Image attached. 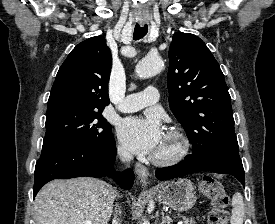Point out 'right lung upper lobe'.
Here are the masks:
<instances>
[{
    "label": "right lung upper lobe",
    "mask_w": 275,
    "mask_h": 224,
    "mask_svg": "<svg viewBox=\"0 0 275 224\" xmlns=\"http://www.w3.org/2000/svg\"><path fill=\"white\" fill-rule=\"evenodd\" d=\"M111 52L103 36L79 43L59 68L48 100L47 114L62 109L103 110Z\"/></svg>",
    "instance_id": "obj_1"
}]
</instances>
